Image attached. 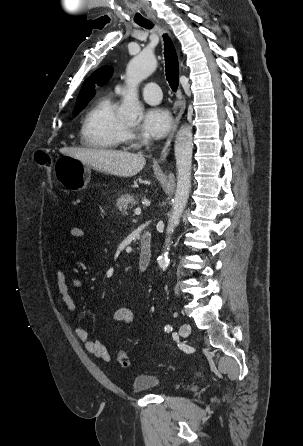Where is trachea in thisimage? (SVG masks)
Returning <instances> with one entry per match:
<instances>
[{
	"label": "trachea",
	"instance_id": "obj_1",
	"mask_svg": "<svg viewBox=\"0 0 303 446\" xmlns=\"http://www.w3.org/2000/svg\"><path fill=\"white\" fill-rule=\"evenodd\" d=\"M139 25L146 29H151L153 27V24L150 21L141 22ZM164 45L166 79L171 89L176 92L179 85V63L177 53L171 39L167 35H164Z\"/></svg>",
	"mask_w": 303,
	"mask_h": 446
}]
</instances>
